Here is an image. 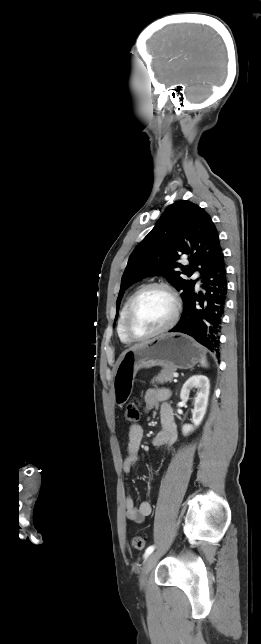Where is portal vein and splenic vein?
<instances>
[{
  "label": "portal vein and splenic vein",
  "mask_w": 261,
  "mask_h": 644,
  "mask_svg": "<svg viewBox=\"0 0 261 644\" xmlns=\"http://www.w3.org/2000/svg\"><path fill=\"white\" fill-rule=\"evenodd\" d=\"M173 376H174L175 378H177V377H178V373H174V375H173Z\"/></svg>",
  "instance_id": "18ae733b"
}]
</instances>
